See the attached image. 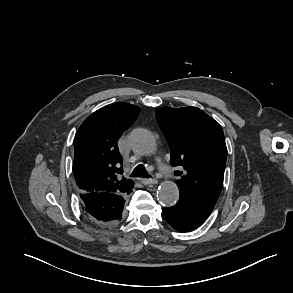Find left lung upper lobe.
I'll list each match as a JSON object with an SVG mask.
<instances>
[{"label": "left lung upper lobe", "mask_w": 293, "mask_h": 293, "mask_svg": "<svg viewBox=\"0 0 293 293\" xmlns=\"http://www.w3.org/2000/svg\"><path fill=\"white\" fill-rule=\"evenodd\" d=\"M157 122L171 151V165L181 171L179 198L212 212L223 185L227 158L222 127L196 107L158 108Z\"/></svg>", "instance_id": "5c2ea615"}]
</instances>
